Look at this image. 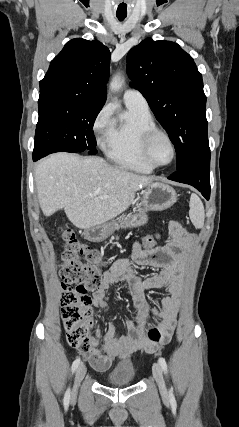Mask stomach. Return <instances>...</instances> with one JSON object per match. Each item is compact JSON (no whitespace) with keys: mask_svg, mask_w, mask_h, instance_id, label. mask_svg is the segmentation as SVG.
Wrapping results in <instances>:
<instances>
[{"mask_svg":"<svg viewBox=\"0 0 239 427\" xmlns=\"http://www.w3.org/2000/svg\"><path fill=\"white\" fill-rule=\"evenodd\" d=\"M177 200L175 190L163 183H152L145 190L143 196L144 210L137 214L128 215L121 222V228H134L144 225L147 220V211H163L170 208ZM113 221L96 225L84 230V236L91 242H101L111 235L115 228Z\"/></svg>","mask_w":239,"mask_h":427,"instance_id":"stomach-1","label":"stomach"}]
</instances>
